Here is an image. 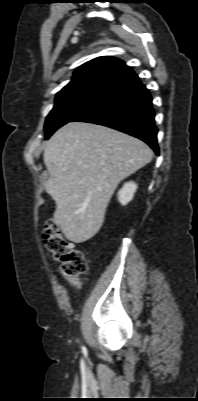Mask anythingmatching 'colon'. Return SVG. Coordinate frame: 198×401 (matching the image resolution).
<instances>
[{
  "instance_id": "obj_1",
  "label": "colon",
  "mask_w": 198,
  "mask_h": 401,
  "mask_svg": "<svg viewBox=\"0 0 198 401\" xmlns=\"http://www.w3.org/2000/svg\"><path fill=\"white\" fill-rule=\"evenodd\" d=\"M43 242L54 260L61 263V271L75 287L79 286V277L87 271L84 254L76 249L62 235L57 222L48 219L44 225Z\"/></svg>"
}]
</instances>
